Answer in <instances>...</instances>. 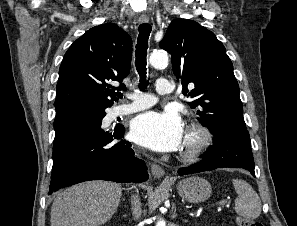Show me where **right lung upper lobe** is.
Segmentation results:
<instances>
[{"label": "right lung upper lobe", "mask_w": 297, "mask_h": 226, "mask_svg": "<svg viewBox=\"0 0 297 226\" xmlns=\"http://www.w3.org/2000/svg\"><path fill=\"white\" fill-rule=\"evenodd\" d=\"M132 40L116 24L89 29L67 50L59 69L56 113L82 106L105 110L117 98L108 81L121 82L130 71Z\"/></svg>", "instance_id": "right-lung-upper-lobe-1"}]
</instances>
